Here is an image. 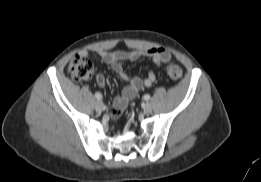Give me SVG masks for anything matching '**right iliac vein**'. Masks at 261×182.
<instances>
[{"mask_svg": "<svg viewBox=\"0 0 261 182\" xmlns=\"http://www.w3.org/2000/svg\"><path fill=\"white\" fill-rule=\"evenodd\" d=\"M103 109H104V104H103V102H102V101H97V102L95 103V110H96L97 112H102Z\"/></svg>", "mask_w": 261, "mask_h": 182, "instance_id": "63e3f726", "label": "right iliac vein"}]
</instances>
